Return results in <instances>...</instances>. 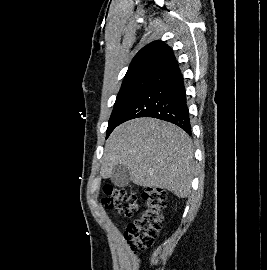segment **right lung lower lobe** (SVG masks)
<instances>
[{
	"mask_svg": "<svg viewBox=\"0 0 267 270\" xmlns=\"http://www.w3.org/2000/svg\"><path fill=\"white\" fill-rule=\"evenodd\" d=\"M139 117H153L171 122L191 135L186 92L176 60L155 75L123 122Z\"/></svg>",
	"mask_w": 267,
	"mask_h": 270,
	"instance_id": "1",
	"label": "right lung lower lobe"
}]
</instances>
